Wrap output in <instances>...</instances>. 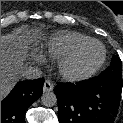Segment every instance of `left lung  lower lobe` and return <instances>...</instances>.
<instances>
[{"label": "left lung lower lobe", "instance_id": "obj_1", "mask_svg": "<svg viewBox=\"0 0 123 123\" xmlns=\"http://www.w3.org/2000/svg\"><path fill=\"white\" fill-rule=\"evenodd\" d=\"M122 82L100 76L79 84H57L59 123H113Z\"/></svg>", "mask_w": 123, "mask_h": 123}]
</instances>
